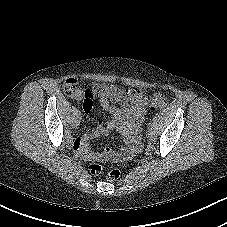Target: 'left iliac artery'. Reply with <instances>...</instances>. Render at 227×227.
<instances>
[{"mask_svg": "<svg viewBox=\"0 0 227 227\" xmlns=\"http://www.w3.org/2000/svg\"><path fill=\"white\" fill-rule=\"evenodd\" d=\"M152 126H153L152 122H149V123L147 124L148 130H149V129H152Z\"/></svg>", "mask_w": 227, "mask_h": 227, "instance_id": "left-iliac-artery-1", "label": "left iliac artery"}]
</instances>
